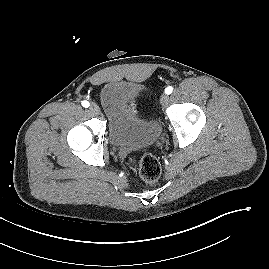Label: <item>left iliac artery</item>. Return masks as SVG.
<instances>
[{
    "instance_id": "1",
    "label": "left iliac artery",
    "mask_w": 269,
    "mask_h": 269,
    "mask_svg": "<svg viewBox=\"0 0 269 269\" xmlns=\"http://www.w3.org/2000/svg\"><path fill=\"white\" fill-rule=\"evenodd\" d=\"M173 91V87L172 86H168L166 89H165V93L166 94H171Z\"/></svg>"
}]
</instances>
